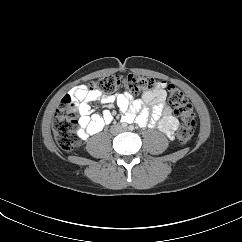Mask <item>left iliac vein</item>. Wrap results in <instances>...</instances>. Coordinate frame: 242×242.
<instances>
[{
  "instance_id": "left-iliac-vein-1",
  "label": "left iliac vein",
  "mask_w": 242,
  "mask_h": 242,
  "mask_svg": "<svg viewBox=\"0 0 242 242\" xmlns=\"http://www.w3.org/2000/svg\"><path fill=\"white\" fill-rule=\"evenodd\" d=\"M126 130H127L126 128H123V129H122V132H124V131H126Z\"/></svg>"
}]
</instances>
